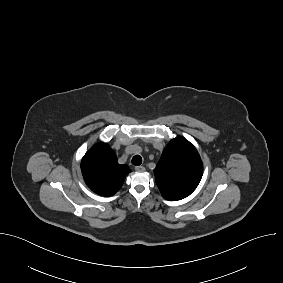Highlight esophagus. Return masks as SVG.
I'll list each match as a JSON object with an SVG mask.
<instances>
[{"label":"esophagus","instance_id":"1","mask_svg":"<svg viewBox=\"0 0 283 283\" xmlns=\"http://www.w3.org/2000/svg\"><path fill=\"white\" fill-rule=\"evenodd\" d=\"M135 170L138 171V172L145 171V167L144 166H136Z\"/></svg>","mask_w":283,"mask_h":283}]
</instances>
